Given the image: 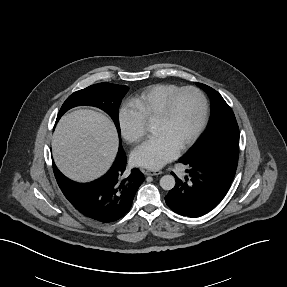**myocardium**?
Segmentation results:
<instances>
[{"label":"myocardium","mask_w":287,"mask_h":287,"mask_svg":"<svg viewBox=\"0 0 287 287\" xmlns=\"http://www.w3.org/2000/svg\"><path fill=\"white\" fill-rule=\"evenodd\" d=\"M186 92H192L196 94L197 97L199 98L200 105H201V117L193 133L180 146L179 151L181 152L190 148L197 141V139L199 138V136L202 134L203 130L206 127V124L208 121L209 107H208V101H207L205 94L199 88L194 87V86H187V87L178 89L176 92H174L172 95H170L167 98L161 112L158 114V116L154 120V122H158V123H164L168 121L172 113V108H173L174 103L182 94Z\"/></svg>","instance_id":"myocardium-1"}]
</instances>
